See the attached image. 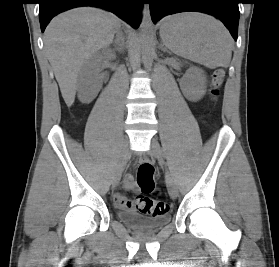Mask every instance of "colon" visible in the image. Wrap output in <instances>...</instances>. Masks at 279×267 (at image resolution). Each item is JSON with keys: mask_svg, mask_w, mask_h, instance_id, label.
I'll return each instance as SVG.
<instances>
[{"mask_svg": "<svg viewBox=\"0 0 279 267\" xmlns=\"http://www.w3.org/2000/svg\"><path fill=\"white\" fill-rule=\"evenodd\" d=\"M224 75L225 72L222 68H217L213 72L209 90L211 100H216L218 97ZM136 183L142 192L135 200L136 210L151 216L164 215L169 211L168 203L155 201L148 196V194L155 190L154 167L150 162L140 164L136 174Z\"/></svg>", "mask_w": 279, "mask_h": 267, "instance_id": "colon-1", "label": "colon"}]
</instances>
